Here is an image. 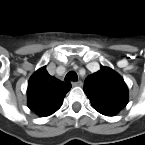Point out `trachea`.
Returning a JSON list of instances; mask_svg holds the SVG:
<instances>
[{"mask_svg":"<svg viewBox=\"0 0 145 145\" xmlns=\"http://www.w3.org/2000/svg\"><path fill=\"white\" fill-rule=\"evenodd\" d=\"M65 79L77 81L78 80L77 73L75 71H70L66 74Z\"/></svg>","mask_w":145,"mask_h":145,"instance_id":"3493384b","label":"trachea"}]
</instances>
